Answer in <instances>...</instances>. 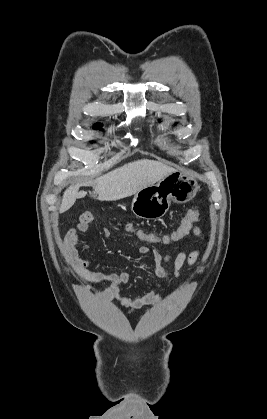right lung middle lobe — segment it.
Wrapping results in <instances>:
<instances>
[{"instance_id":"obj_1","label":"right lung middle lobe","mask_w":267,"mask_h":419,"mask_svg":"<svg viewBox=\"0 0 267 419\" xmlns=\"http://www.w3.org/2000/svg\"><path fill=\"white\" fill-rule=\"evenodd\" d=\"M95 126H99V124H95Z\"/></svg>"}]
</instances>
